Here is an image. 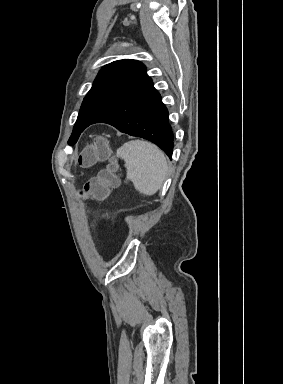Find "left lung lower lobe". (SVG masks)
Instances as JSON below:
<instances>
[{"instance_id":"0a47b994","label":"left lung lower lobe","mask_w":283,"mask_h":384,"mask_svg":"<svg viewBox=\"0 0 283 384\" xmlns=\"http://www.w3.org/2000/svg\"><path fill=\"white\" fill-rule=\"evenodd\" d=\"M99 122L108 123L131 136L145 138L158 145L170 159L172 158L174 144L172 128L168 122V110L151 78L134 88L118 104L88 126Z\"/></svg>"}]
</instances>
